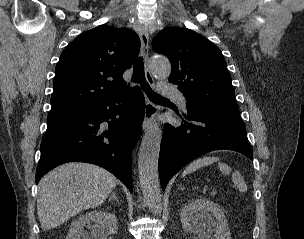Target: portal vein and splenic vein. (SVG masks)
Wrapping results in <instances>:
<instances>
[{"instance_id": "18ae733b", "label": "portal vein and splenic vein", "mask_w": 304, "mask_h": 239, "mask_svg": "<svg viewBox=\"0 0 304 239\" xmlns=\"http://www.w3.org/2000/svg\"><path fill=\"white\" fill-rule=\"evenodd\" d=\"M212 195H215L216 194V192L215 191H212V193H211Z\"/></svg>"}]
</instances>
